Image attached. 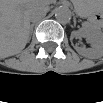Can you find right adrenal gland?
Instances as JSON below:
<instances>
[{"label":"right adrenal gland","mask_w":103,"mask_h":103,"mask_svg":"<svg viewBox=\"0 0 103 103\" xmlns=\"http://www.w3.org/2000/svg\"><path fill=\"white\" fill-rule=\"evenodd\" d=\"M33 27H34V24H31V26H30V33L32 34V32H33Z\"/></svg>","instance_id":"1"}]
</instances>
